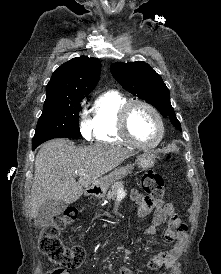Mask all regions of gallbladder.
<instances>
[{
	"label": "gallbladder",
	"mask_w": 221,
	"mask_h": 274,
	"mask_svg": "<svg viewBox=\"0 0 221 274\" xmlns=\"http://www.w3.org/2000/svg\"><path fill=\"white\" fill-rule=\"evenodd\" d=\"M68 204L61 200H47L38 209L35 216L37 224H44L54 216L62 214Z\"/></svg>",
	"instance_id": "1"
}]
</instances>
